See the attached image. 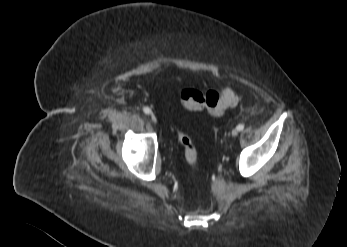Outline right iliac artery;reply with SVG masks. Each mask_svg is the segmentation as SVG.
<instances>
[{
	"mask_svg": "<svg viewBox=\"0 0 347 247\" xmlns=\"http://www.w3.org/2000/svg\"><path fill=\"white\" fill-rule=\"evenodd\" d=\"M143 111H144V113H146V114H150V113H151V109H150L149 107H144V108H143Z\"/></svg>",
	"mask_w": 347,
	"mask_h": 247,
	"instance_id": "right-iliac-artery-1",
	"label": "right iliac artery"
}]
</instances>
